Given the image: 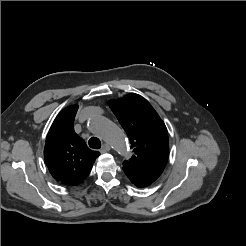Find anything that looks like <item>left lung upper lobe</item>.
Instances as JSON below:
<instances>
[{
  "label": "left lung upper lobe",
  "instance_id": "obj_1",
  "mask_svg": "<svg viewBox=\"0 0 246 246\" xmlns=\"http://www.w3.org/2000/svg\"><path fill=\"white\" fill-rule=\"evenodd\" d=\"M109 107L126 131L134 155L123 162L124 172L153 183L163 172L169 155L168 132L150 103L131 93L110 100Z\"/></svg>",
  "mask_w": 246,
  "mask_h": 246
}]
</instances>
